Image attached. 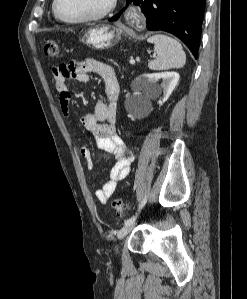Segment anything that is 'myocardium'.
<instances>
[{
	"label": "myocardium",
	"instance_id": "myocardium-1",
	"mask_svg": "<svg viewBox=\"0 0 247 299\" xmlns=\"http://www.w3.org/2000/svg\"><path fill=\"white\" fill-rule=\"evenodd\" d=\"M58 1L59 0L53 1L52 10H53L54 16L59 21L66 23V24H81V23L97 21V20L104 18L106 15H108L114 9L117 0H108L106 5L99 12H97L93 15H89V16L77 18V19H66V18L62 17L59 14L58 9H57Z\"/></svg>",
	"mask_w": 247,
	"mask_h": 299
}]
</instances>
